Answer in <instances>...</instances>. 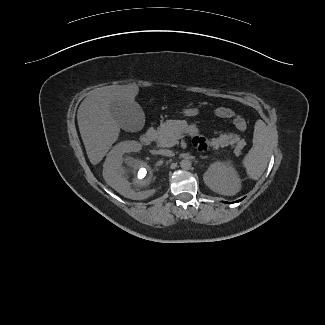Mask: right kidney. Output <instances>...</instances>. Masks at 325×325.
Instances as JSON below:
<instances>
[{
  "instance_id": "right-kidney-1",
  "label": "right kidney",
  "mask_w": 325,
  "mask_h": 325,
  "mask_svg": "<svg viewBox=\"0 0 325 325\" xmlns=\"http://www.w3.org/2000/svg\"><path fill=\"white\" fill-rule=\"evenodd\" d=\"M140 144L124 141L107 155L103 168L106 183L126 198L143 200L158 189L157 176L148 162L140 157L130 156L138 152Z\"/></svg>"
}]
</instances>
